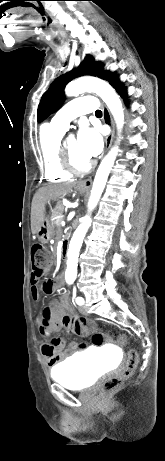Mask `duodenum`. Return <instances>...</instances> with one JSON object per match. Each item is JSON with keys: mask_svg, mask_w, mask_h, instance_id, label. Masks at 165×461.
<instances>
[{"mask_svg": "<svg viewBox=\"0 0 165 461\" xmlns=\"http://www.w3.org/2000/svg\"><path fill=\"white\" fill-rule=\"evenodd\" d=\"M67 239V238H66ZM67 242V240L64 241V244Z\"/></svg>", "mask_w": 165, "mask_h": 461, "instance_id": "1", "label": "duodenum"}]
</instances>
